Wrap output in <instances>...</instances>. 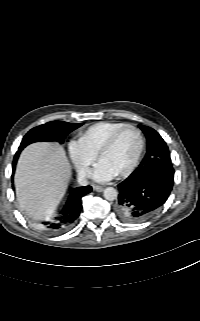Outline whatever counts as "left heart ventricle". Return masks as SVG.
<instances>
[{
  "instance_id": "1",
  "label": "left heart ventricle",
  "mask_w": 200,
  "mask_h": 321,
  "mask_svg": "<svg viewBox=\"0 0 200 321\" xmlns=\"http://www.w3.org/2000/svg\"><path fill=\"white\" fill-rule=\"evenodd\" d=\"M139 147L138 135L128 130L121 135L116 144L102 156L104 162L116 175L126 170L133 162Z\"/></svg>"
}]
</instances>
